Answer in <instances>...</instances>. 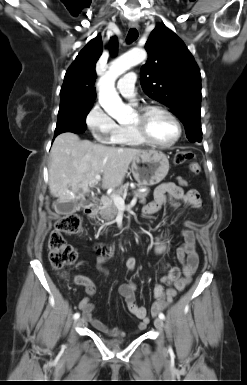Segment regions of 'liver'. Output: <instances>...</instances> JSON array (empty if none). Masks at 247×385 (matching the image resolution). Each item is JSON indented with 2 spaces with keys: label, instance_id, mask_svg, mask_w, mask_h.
<instances>
[{
  "label": "liver",
  "instance_id": "liver-1",
  "mask_svg": "<svg viewBox=\"0 0 247 385\" xmlns=\"http://www.w3.org/2000/svg\"><path fill=\"white\" fill-rule=\"evenodd\" d=\"M142 152L80 140L72 132L61 133L51 149L50 194L61 203L84 200V194L97 183L95 176L100 174L104 176L103 189L116 188L122 184L133 158Z\"/></svg>",
  "mask_w": 247,
  "mask_h": 385
}]
</instances>
